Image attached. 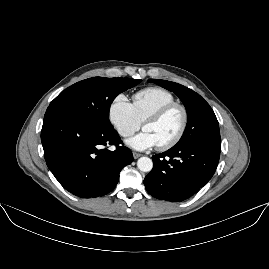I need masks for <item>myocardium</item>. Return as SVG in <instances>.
Segmentation results:
<instances>
[{"label": "myocardium", "instance_id": "1", "mask_svg": "<svg viewBox=\"0 0 269 269\" xmlns=\"http://www.w3.org/2000/svg\"><path fill=\"white\" fill-rule=\"evenodd\" d=\"M172 110L180 111L182 115V125L177 135L170 142L166 143L165 145L158 146L159 151H167L175 147L185 136L189 124V114L186 107L177 102L169 103L150 112L143 121V129H144V125L147 121L153 118L164 116L165 114L169 113Z\"/></svg>", "mask_w": 269, "mask_h": 269}]
</instances>
